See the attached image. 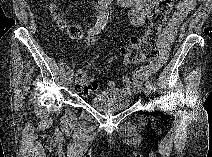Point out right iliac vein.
<instances>
[{"instance_id": "1", "label": "right iliac vein", "mask_w": 212, "mask_h": 157, "mask_svg": "<svg viewBox=\"0 0 212 157\" xmlns=\"http://www.w3.org/2000/svg\"><path fill=\"white\" fill-rule=\"evenodd\" d=\"M72 83V75H69L67 78V85H71Z\"/></svg>"}]
</instances>
